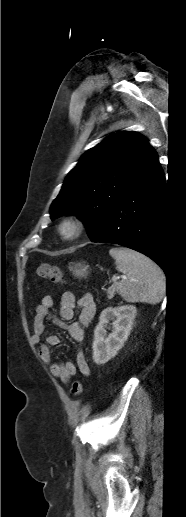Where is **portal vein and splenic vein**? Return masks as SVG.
<instances>
[{
  "label": "portal vein and splenic vein",
  "mask_w": 186,
  "mask_h": 517,
  "mask_svg": "<svg viewBox=\"0 0 186 517\" xmlns=\"http://www.w3.org/2000/svg\"><path fill=\"white\" fill-rule=\"evenodd\" d=\"M120 278H125V276H121V277L120 276H113L112 277L113 283L116 284L117 280L120 279Z\"/></svg>",
  "instance_id": "1"
}]
</instances>
